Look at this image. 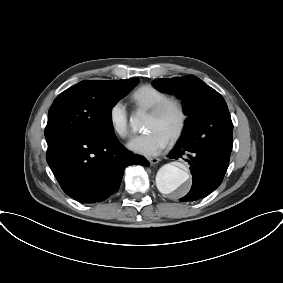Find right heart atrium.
<instances>
[{
  "instance_id": "obj_1",
  "label": "right heart atrium",
  "mask_w": 283,
  "mask_h": 283,
  "mask_svg": "<svg viewBox=\"0 0 283 283\" xmlns=\"http://www.w3.org/2000/svg\"><path fill=\"white\" fill-rule=\"evenodd\" d=\"M109 122L112 130L119 137L128 138L131 135L128 111L122 101H116L110 107Z\"/></svg>"
}]
</instances>
